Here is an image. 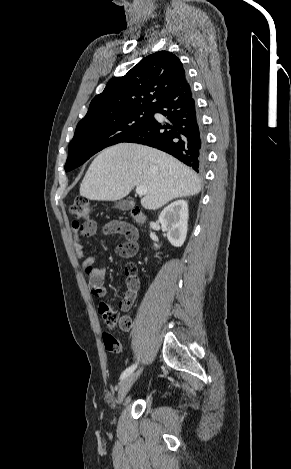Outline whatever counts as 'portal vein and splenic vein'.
Segmentation results:
<instances>
[{"mask_svg": "<svg viewBox=\"0 0 291 469\" xmlns=\"http://www.w3.org/2000/svg\"><path fill=\"white\" fill-rule=\"evenodd\" d=\"M136 193H137L139 196L145 195V194H147V189H146L144 186H142V185L137 186V187H136Z\"/></svg>", "mask_w": 291, "mask_h": 469, "instance_id": "1", "label": "portal vein and splenic vein"}]
</instances>
